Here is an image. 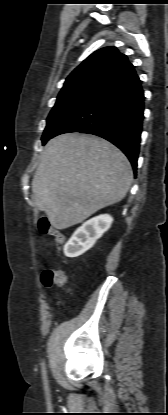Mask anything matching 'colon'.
<instances>
[{
	"label": "colon",
	"instance_id": "obj_1",
	"mask_svg": "<svg viewBox=\"0 0 168 415\" xmlns=\"http://www.w3.org/2000/svg\"><path fill=\"white\" fill-rule=\"evenodd\" d=\"M38 228L41 234L51 236L57 246H62L65 240L64 234L50 226L49 222L45 218H41L38 222ZM66 274L63 269L59 267L48 268L43 272V283L50 286L64 287L66 284Z\"/></svg>",
	"mask_w": 168,
	"mask_h": 415
}]
</instances>
